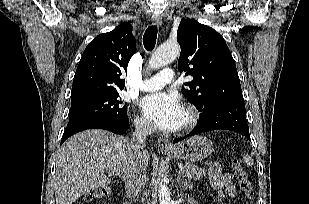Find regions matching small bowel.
<instances>
[{
  "mask_svg": "<svg viewBox=\"0 0 309 204\" xmlns=\"http://www.w3.org/2000/svg\"><path fill=\"white\" fill-rule=\"evenodd\" d=\"M208 177L212 187L216 189L219 194H226L229 196H234L236 194V189L232 184L231 176L228 173L223 172L218 163L212 162L209 164Z\"/></svg>",
  "mask_w": 309,
  "mask_h": 204,
  "instance_id": "small-bowel-1",
  "label": "small bowel"
}]
</instances>
